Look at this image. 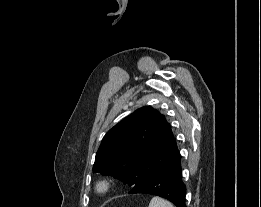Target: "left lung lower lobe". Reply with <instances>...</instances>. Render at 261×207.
Wrapping results in <instances>:
<instances>
[{
  "mask_svg": "<svg viewBox=\"0 0 261 207\" xmlns=\"http://www.w3.org/2000/svg\"><path fill=\"white\" fill-rule=\"evenodd\" d=\"M145 193L163 197L176 207H186V186L182 180L181 155L154 175L136 184L129 194Z\"/></svg>",
  "mask_w": 261,
  "mask_h": 207,
  "instance_id": "0a47b994",
  "label": "left lung lower lobe"
}]
</instances>
